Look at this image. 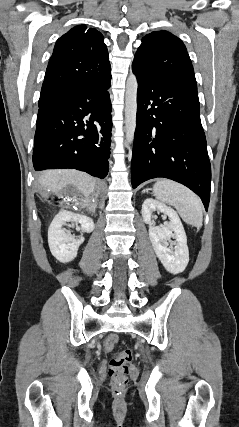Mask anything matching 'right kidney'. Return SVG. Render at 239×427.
I'll use <instances>...</instances> for the list:
<instances>
[{
  "label": "right kidney",
  "instance_id": "1",
  "mask_svg": "<svg viewBox=\"0 0 239 427\" xmlns=\"http://www.w3.org/2000/svg\"><path fill=\"white\" fill-rule=\"evenodd\" d=\"M67 222L80 224L83 233H90L95 228L93 220L85 215L62 210L55 216L48 229V244L52 255L62 263L72 261L84 242L82 235L75 239L63 230L62 227Z\"/></svg>",
  "mask_w": 239,
  "mask_h": 427
}]
</instances>
